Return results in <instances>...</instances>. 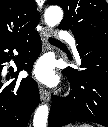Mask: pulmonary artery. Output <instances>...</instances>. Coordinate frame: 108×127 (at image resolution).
<instances>
[{
    "label": "pulmonary artery",
    "mask_w": 108,
    "mask_h": 127,
    "mask_svg": "<svg viewBox=\"0 0 108 127\" xmlns=\"http://www.w3.org/2000/svg\"><path fill=\"white\" fill-rule=\"evenodd\" d=\"M59 36H60V38L66 40L70 44V46L73 49L76 56L79 57V55L77 53L76 41H75L74 37L71 34L67 33V32H61Z\"/></svg>",
    "instance_id": "pulmonary-artery-1"
}]
</instances>
